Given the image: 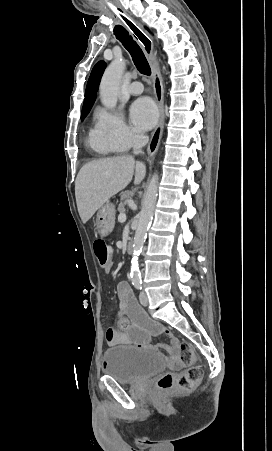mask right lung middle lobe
I'll return each mask as SVG.
<instances>
[{"mask_svg":"<svg viewBox=\"0 0 272 451\" xmlns=\"http://www.w3.org/2000/svg\"><path fill=\"white\" fill-rule=\"evenodd\" d=\"M91 108H82V113H81V120H83L87 114L89 113Z\"/></svg>","mask_w":272,"mask_h":451,"instance_id":"1","label":"right lung middle lobe"}]
</instances>
